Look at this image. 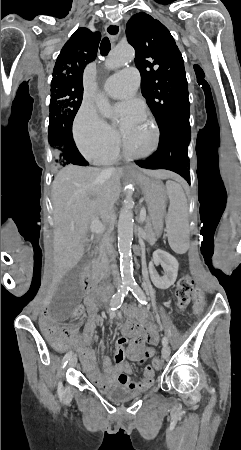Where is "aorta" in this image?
Instances as JSON below:
<instances>
[{
	"instance_id": "1",
	"label": "aorta",
	"mask_w": 241,
	"mask_h": 450,
	"mask_svg": "<svg viewBox=\"0 0 241 450\" xmlns=\"http://www.w3.org/2000/svg\"><path fill=\"white\" fill-rule=\"evenodd\" d=\"M135 51L130 45H118L108 55L106 67L116 69L131 62ZM96 105L101 114L107 118L112 116L111 106L107 98L101 94L96 99ZM133 205L131 197L124 199L118 220V251L120 254V271L123 284L134 283L131 245L133 240Z\"/></svg>"
}]
</instances>
